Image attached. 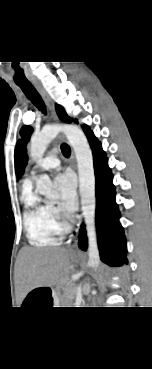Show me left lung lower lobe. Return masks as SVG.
<instances>
[{"label": "left lung lower lobe", "instance_id": "left-lung-lower-lobe-1", "mask_svg": "<svg viewBox=\"0 0 152 369\" xmlns=\"http://www.w3.org/2000/svg\"><path fill=\"white\" fill-rule=\"evenodd\" d=\"M83 129L90 142L96 176V222L100 258L111 266L127 263L126 240L119 223L120 213L115 202V187L112 184V173L108 167V159L101 143L87 125ZM79 247L87 250V237L84 227L80 229Z\"/></svg>", "mask_w": 152, "mask_h": 369}]
</instances>
